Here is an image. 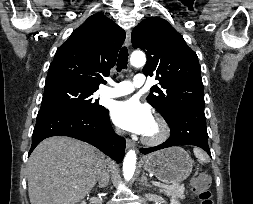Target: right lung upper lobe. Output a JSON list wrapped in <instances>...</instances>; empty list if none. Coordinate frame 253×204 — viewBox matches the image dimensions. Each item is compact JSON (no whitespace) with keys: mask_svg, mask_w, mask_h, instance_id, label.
<instances>
[{"mask_svg":"<svg viewBox=\"0 0 253 204\" xmlns=\"http://www.w3.org/2000/svg\"><path fill=\"white\" fill-rule=\"evenodd\" d=\"M125 32L103 14L90 16L56 51L45 84L68 82L98 89L115 65Z\"/></svg>","mask_w":253,"mask_h":204,"instance_id":"1","label":"right lung upper lobe"}]
</instances>
